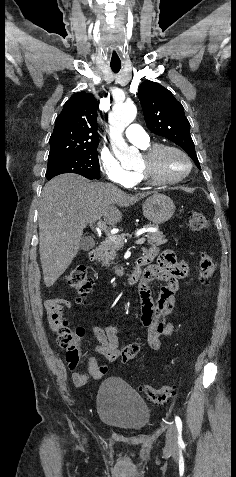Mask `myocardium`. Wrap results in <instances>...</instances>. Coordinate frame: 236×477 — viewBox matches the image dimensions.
<instances>
[{
  "mask_svg": "<svg viewBox=\"0 0 236 477\" xmlns=\"http://www.w3.org/2000/svg\"><path fill=\"white\" fill-rule=\"evenodd\" d=\"M167 151H172L181 155L187 164L186 171L176 177L171 179H158L154 175V164L158 157ZM144 165L138 167L136 172L140 176L141 180L149 185L153 186H164V185H173L183 181L192 170V161L189 155L183 151L181 148L168 145V144H158L146 149L143 153Z\"/></svg>",
  "mask_w": 236,
  "mask_h": 477,
  "instance_id": "1",
  "label": "myocardium"
}]
</instances>
